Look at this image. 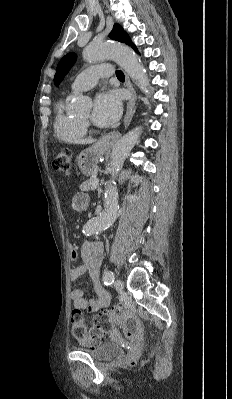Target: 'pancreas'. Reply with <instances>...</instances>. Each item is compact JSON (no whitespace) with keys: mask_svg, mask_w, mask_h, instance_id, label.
<instances>
[{"mask_svg":"<svg viewBox=\"0 0 232 399\" xmlns=\"http://www.w3.org/2000/svg\"><path fill=\"white\" fill-rule=\"evenodd\" d=\"M93 176H95V174H91V178L90 180H86V182H82V184H80L79 188L81 190V192H88V190H90L95 178H93Z\"/></svg>","mask_w":232,"mask_h":399,"instance_id":"1","label":"pancreas"}]
</instances>
